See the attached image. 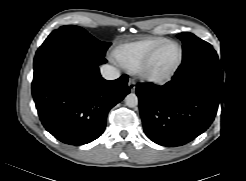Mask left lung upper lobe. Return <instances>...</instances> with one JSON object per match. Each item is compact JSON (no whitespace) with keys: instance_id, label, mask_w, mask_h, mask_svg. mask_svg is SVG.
I'll use <instances>...</instances> for the list:
<instances>
[{"instance_id":"left-lung-upper-lobe-1","label":"left lung upper lobe","mask_w":246,"mask_h":181,"mask_svg":"<svg viewBox=\"0 0 246 181\" xmlns=\"http://www.w3.org/2000/svg\"><path fill=\"white\" fill-rule=\"evenodd\" d=\"M178 37L183 42V57H187L207 49H212V46L208 42L201 40L192 33H180L178 34Z\"/></svg>"}]
</instances>
